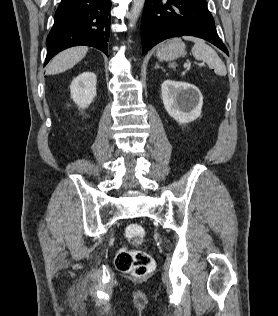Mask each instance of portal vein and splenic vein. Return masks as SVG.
<instances>
[{
	"label": "portal vein and splenic vein",
	"instance_id": "obj_1",
	"mask_svg": "<svg viewBox=\"0 0 278 316\" xmlns=\"http://www.w3.org/2000/svg\"><path fill=\"white\" fill-rule=\"evenodd\" d=\"M196 65H197V66H204L203 63H196ZM187 66H188V64H185V67H187Z\"/></svg>",
	"mask_w": 278,
	"mask_h": 316
}]
</instances>
